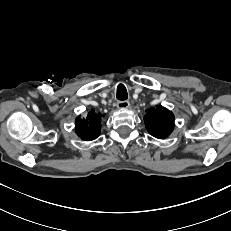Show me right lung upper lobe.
Returning <instances> with one entry per match:
<instances>
[{
  "mask_svg": "<svg viewBox=\"0 0 231 231\" xmlns=\"http://www.w3.org/2000/svg\"><path fill=\"white\" fill-rule=\"evenodd\" d=\"M100 113L90 111L86 118H76L75 129L77 135L83 140H94L100 135L101 118Z\"/></svg>",
  "mask_w": 231,
  "mask_h": 231,
  "instance_id": "1",
  "label": "right lung upper lobe"
}]
</instances>
